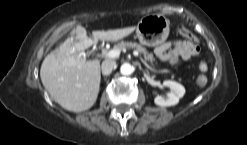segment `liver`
<instances>
[{
    "label": "liver",
    "instance_id": "liver-1",
    "mask_svg": "<svg viewBox=\"0 0 247 145\" xmlns=\"http://www.w3.org/2000/svg\"><path fill=\"white\" fill-rule=\"evenodd\" d=\"M136 27L93 31V39L77 26L72 36L50 52L41 65L40 77L51 98L64 109L82 112L96 102L100 86V61H87L78 55L98 40L116 42L130 35ZM75 35V36H74Z\"/></svg>",
    "mask_w": 247,
    "mask_h": 145
}]
</instances>
